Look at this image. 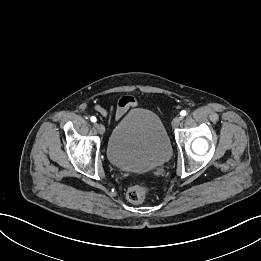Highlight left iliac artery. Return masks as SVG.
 Returning a JSON list of instances; mask_svg holds the SVG:
<instances>
[{"instance_id": "left-iliac-artery-1", "label": "left iliac artery", "mask_w": 261, "mask_h": 261, "mask_svg": "<svg viewBox=\"0 0 261 261\" xmlns=\"http://www.w3.org/2000/svg\"><path fill=\"white\" fill-rule=\"evenodd\" d=\"M186 114H187V113H186L185 110H182V111L180 112V115H181L182 117H184Z\"/></svg>"}]
</instances>
